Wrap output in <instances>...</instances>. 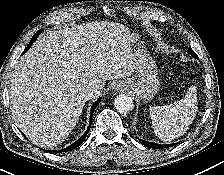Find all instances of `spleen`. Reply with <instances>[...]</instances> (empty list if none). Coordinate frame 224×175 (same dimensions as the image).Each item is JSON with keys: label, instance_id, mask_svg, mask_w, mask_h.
<instances>
[{"label": "spleen", "instance_id": "3e777b00", "mask_svg": "<svg viewBox=\"0 0 224 175\" xmlns=\"http://www.w3.org/2000/svg\"><path fill=\"white\" fill-rule=\"evenodd\" d=\"M197 103L196 87L191 86L185 97L179 101L164 106H150L156 136L163 141H171L182 136L194 120Z\"/></svg>", "mask_w": 224, "mask_h": 175}]
</instances>
